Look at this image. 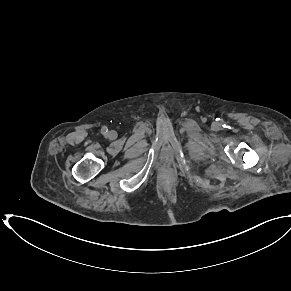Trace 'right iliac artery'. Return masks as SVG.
<instances>
[{
    "label": "right iliac artery",
    "instance_id": "right-iliac-artery-1",
    "mask_svg": "<svg viewBox=\"0 0 291 291\" xmlns=\"http://www.w3.org/2000/svg\"><path fill=\"white\" fill-rule=\"evenodd\" d=\"M101 132H102L103 134H105V133L107 132V128H106V127H102Z\"/></svg>",
    "mask_w": 291,
    "mask_h": 291
}]
</instances>
